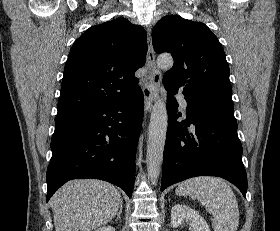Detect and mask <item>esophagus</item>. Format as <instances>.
Listing matches in <instances>:
<instances>
[{
	"label": "esophagus",
	"mask_w": 280,
	"mask_h": 231,
	"mask_svg": "<svg viewBox=\"0 0 280 231\" xmlns=\"http://www.w3.org/2000/svg\"><path fill=\"white\" fill-rule=\"evenodd\" d=\"M147 65L150 69L151 84L144 86L143 95L145 100V118L151 111L153 103L156 101L161 83V70L156 66L155 54L152 46V29L147 27Z\"/></svg>",
	"instance_id": "esophagus-1"
}]
</instances>
